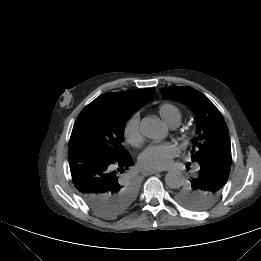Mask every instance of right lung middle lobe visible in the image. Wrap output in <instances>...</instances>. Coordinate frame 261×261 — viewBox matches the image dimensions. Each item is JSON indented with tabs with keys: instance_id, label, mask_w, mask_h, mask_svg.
Instances as JSON below:
<instances>
[{
	"instance_id": "1",
	"label": "right lung middle lobe",
	"mask_w": 261,
	"mask_h": 261,
	"mask_svg": "<svg viewBox=\"0 0 261 261\" xmlns=\"http://www.w3.org/2000/svg\"><path fill=\"white\" fill-rule=\"evenodd\" d=\"M127 119L108 104L95 99L78 115L71 133L69 147L84 145L105 156L125 158L129 156L122 146ZM137 189L136 181L126 176L118 190L102 197L103 200L117 199V209L114 212L99 209L98 206L104 203L102 201L97 203L98 205L88 206L101 217L113 218L123 213L131 205L136 197Z\"/></svg>"
}]
</instances>
